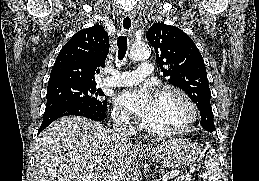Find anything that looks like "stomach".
Instances as JSON below:
<instances>
[{"mask_svg":"<svg viewBox=\"0 0 259 181\" xmlns=\"http://www.w3.org/2000/svg\"><path fill=\"white\" fill-rule=\"evenodd\" d=\"M200 148L190 140L168 139L140 155L151 162H159L176 169L192 164L198 157Z\"/></svg>","mask_w":259,"mask_h":181,"instance_id":"stomach-1","label":"stomach"}]
</instances>
